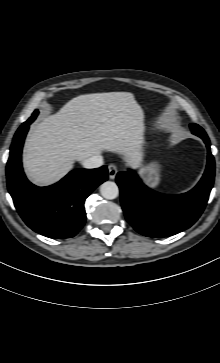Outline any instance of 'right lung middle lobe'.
Wrapping results in <instances>:
<instances>
[{"label":"right lung middle lobe","mask_w":220,"mask_h":363,"mask_svg":"<svg viewBox=\"0 0 220 363\" xmlns=\"http://www.w3.org/2000/svg\"><path fill=\"white\" fill-rule=\"evenodd\" d=\"M37 115H38V110H35L30 118H32V120H34Z\"/></svg>","instance_id":"1"}]
</instances>
